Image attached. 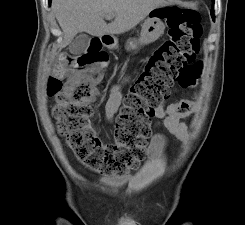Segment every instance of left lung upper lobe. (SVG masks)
<instances>
[{
  "instance_id": "1",
  "label": "left lung upper lobe",
  "mask_w": 245,
  "mask_h": 225,
  "mask_svg": "<svg viewBox=\"0 0 245 225\" xmlns=\"http://www.w3.org/2000/svg\"><path fill=\"white\" fill-rule=\"evenodd\" d=\"M213 2H214V1H213ZM211 16H212V18L214 19L213 8H212V11H211Z\"/></svg>"
}]
</instances>
